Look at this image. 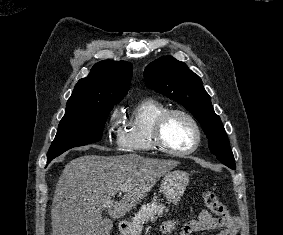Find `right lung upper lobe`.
Here are the masks:
<instances>
[{
	"mask_svg": "<svg viewBox=\"0 0 283 235\" xmlns=\"http://www.w3.org/2000/svg\"><path fill=\"white\" fill-rule=\"evenodd\" d=\"M132 73L133 67L128 62L101 61L78 81L67 103L121 101L129 90Z\"/></svg>",
	"mask_w": 283,
	"mask_h": 235,
	"instance_id": "right-lung-upper-lobe-1",
	"label": "right lung upper lobe"
}]
</instances>
